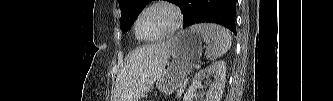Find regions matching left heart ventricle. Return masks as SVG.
I'll use <instances>...</instances> for the list:
<instances>
[{"mask_svg":"<svg viewBox=\"0 0 333 101\" xmlns=\"http://www.w3.org/2000/svg\"><path fill=\"white\" fill-rule=\"evenodd\" d=\"M175 23L174 14L166 8H154L140 19L139 31L144 38H154L169 31Z\"/></svg>","mask_w":333,"mask_h":101,"instance_id":"b2bd125f","label":"left heart ventricle"}]
</instances>
